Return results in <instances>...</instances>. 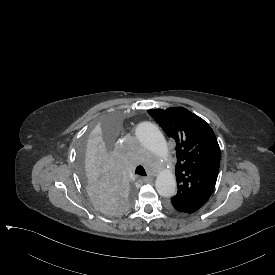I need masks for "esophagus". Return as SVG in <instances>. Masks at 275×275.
<instances>
[{"label":"esophagus","mask_w":275,"mask_h":275,"mask_svg":"<svg viewBox=\"0 0 275 275\" xmlns=\"http://www.w3.org/2000/svg\"><path fill=\"white\" fill-rule=\"evenodd\" d=\"M152 179L150 177H142L143 182H150Z\"/></svg>","instance_id":"1"}]
</instances>
